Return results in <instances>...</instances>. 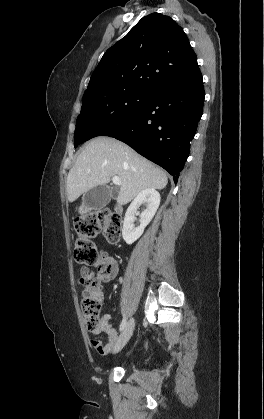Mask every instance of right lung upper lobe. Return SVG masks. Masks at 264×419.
I'll use <instances>...</instances> for the list:
<instances>
[{
	"instance_id": "obj_1",
	"label": "right lung upper lobe",
	"mask_w": 264,
	"mask_h": 419,
	"mask_svg": "<svg viewBox=\"0 0 264 419\" xmlns=\"http://www.w3.org/2000/svg\"><path fill=\"white\" fill-rule=\"evenodd\" d=\"M200 75L183 29L169 16L152 13L105 52L84 96L131 88L154 91L172 83L192 82Z\"/></svg>"
}]
</instances>
